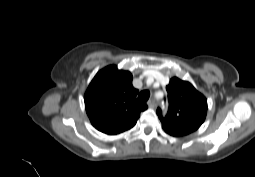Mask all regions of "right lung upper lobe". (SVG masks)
Masks as SVG:
<instances>
[{"instance_id": "cb5924a9", "label": "right lung upper lobe", "mask_w": 255, "mask_h": 177, "mask_svg": "<svg viewBox=\"0 0 255 177\" xmlns=\"http://www.w3.org/2000/svg\"><path fill=\"white\" fill-rule=\"evenodd\" d=\"M129 71L110 65L100 70L84 96L85 108L92 125L99 131L116 135L132 128L147 105L136 99Z\"/></svg>"}]
</instances>
